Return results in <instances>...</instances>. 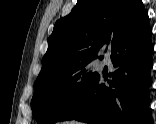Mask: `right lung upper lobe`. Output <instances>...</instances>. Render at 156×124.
I'll list each match as a JSON object with an SVG mask.
<instances>
[{"label": "right lung upper lobe", "mask_w": 156, "mask_h": 124, "mask_svg": "<svg viewBox=\"0 0 156 124\" xmlns=\"http://www.w3.org/2000/svg\"><path fill=\"white\" fill-rule=\"evenodd\" d=\"M148 25L141 0H78L72 12L55 23L38 78L95 59L101 47Z\"/></svg>", "instance_id": "cb5924a9"}]
</instances>
